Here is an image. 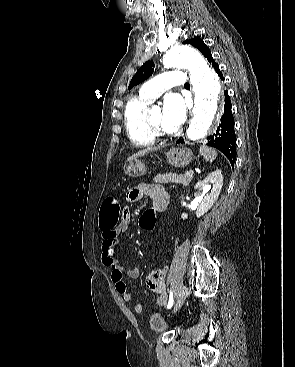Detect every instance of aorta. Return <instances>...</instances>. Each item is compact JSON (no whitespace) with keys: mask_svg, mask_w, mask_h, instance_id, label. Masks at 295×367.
Here are the masks:
<instances>
[{"mask_svg":"<svg viewBox=\"0 0 295 367\" xmlns=\"http://www.w3.org/2000/svg\"><path fill=\"white\" fill-rule=\"evenodd\" d=\"M163 64L190 71L195 105L186 137L191 141L203 139L221 111V86L217 74L197 51L185 46H175L166 52Z\"/></svg>","mask_w":295,"mask_h":367,"instance_id":"1","label":"aorta"}]
</instances>
